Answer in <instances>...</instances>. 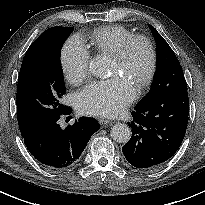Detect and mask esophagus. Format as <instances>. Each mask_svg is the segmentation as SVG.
I'll list each match as a JSON object with an SVG mask.
<instances>
[{
  "label": "esophagus",
  "instance_id": "obj_1",
  "mask_svg": "<svg viewBox=\"0 0 205 205\" xmlns=\"http://www.w3.org/2000/svg\"><path fill=\"white\" fill-rule=\"evenodd\" d=\"M98 122H99V124L102 125V126H106L107 124H112L111 121L106 120V119H103V118H98Z\"/></svg>",
  "mask_w": 205,
  "mask_h": 205
}]
</instances>
